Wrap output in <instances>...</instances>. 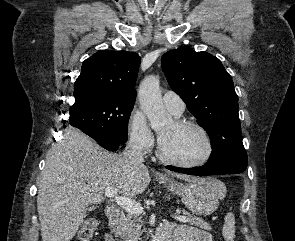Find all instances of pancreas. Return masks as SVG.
I'll return each mask as SVG.
<instances>
[{"label":"pancreas","mask_w":295,"mask_h":241,"mask_svg":"<svg viewBox=\"0 0 295 241\" xmlns=\"http://www.w3.org/2000/svg\"><path fill=\"white\" fill-rule=\"evenodd\" d=\"M183 214L189 218V223L196 227L205 230H211V226L203 219L191 215L189 212L183 210ZM111 231L120 236L123 241H137L142 234V220L132 213H122L120 217L110 223Z\"/></svg>","instance_id":"obj_1"}]
</instances>
